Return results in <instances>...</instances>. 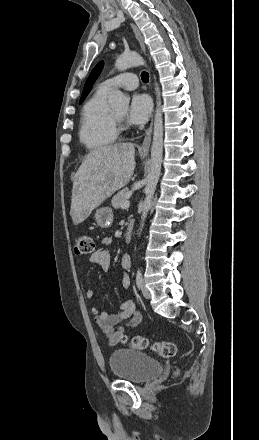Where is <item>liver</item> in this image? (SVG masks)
Returning <instances> with one entry per match:
<instances>
[{"label":"liver","instance_id":"liver-1","mask_svg":"<svg viewBox=\"0 0 259 440\" xmlns=\"http://www.w3.org/2000/svg\"><path fill=\"white\" fill-rule=\"evenodd\" d=\"M135 169L132 143L115 144L91 151L73 180L70 215L74 224L91 212L130 180Z\"/></svg>","mask_w":259,"mask_h":440}]
</instances>
